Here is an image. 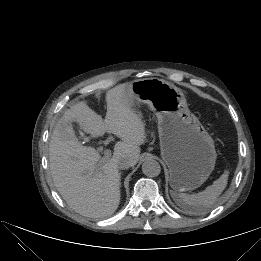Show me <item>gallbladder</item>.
<instances>
[{"instance_id":"bac80fb5","label":"gallbladder","mask_w":261,"mask_h":261,"mask_svg":"<svg viewBox=\"0 0 261 261\" xmlns=\"http://www.w3.org/2000/svg\"><path fill=\"white\" fill-rule=\"evenodd\" d=\"M71 136H75L74 131L72 130V132L70 133Z\"/></svg>"}]
</instances>
